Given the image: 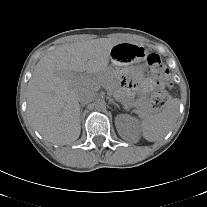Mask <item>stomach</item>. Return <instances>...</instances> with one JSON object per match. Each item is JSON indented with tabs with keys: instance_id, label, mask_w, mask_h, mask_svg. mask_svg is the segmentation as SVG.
<instances>
[{
	"instance_id": "stomach-1",
	"label": "stomach",
	"mask_w": 207,
	"mask_h": 207,
	"mask_svg": "<svg viewBox=\"0 0 207 207\" xmlns=\"http://www.w3.org/2000/svg\"><path fill=\"white\" fill-rule=\"evenodd\" d=\"M147 51L144 47L134 43H119L116 44L110 53V59L116 67L130 66L133 63L140 67L145 60ZM121 99L125 103L133 101L126 93L121 94Z\"/></svg>"
}]
</instances>
